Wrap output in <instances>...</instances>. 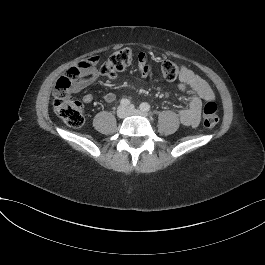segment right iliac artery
<instances>
[{
  "label": "right iliac artery",
  "instance_id": "right-iliac-artery-1",
  "mask_svg": "<svg viewBox=\"0 0 265 265\" xmlns=\"http://www.w3.org/2000/svg\"><path fill=\"white\" fill-rule=\"evenodd\" d=\"M120 104L122 106H129L130 108H134V106L130 103V101L128 99H122L120 101Z\"/></svg>",
  "mask_w": 265,
  "mask_h": 265
}]
</instances>
